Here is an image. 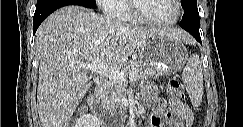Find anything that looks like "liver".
Instances as JSON below:
<instances>
[{
  "label": "liver",
  "mask_w": 243,
  "mask_h": 127,
  "mask_svg": "<svg viewBox=\"0 0 243 127\" xmlns=\"http://www.w3.org/2000/svg\"><path fill=\"white\" fill-rule=\"evenodd\" d=\"M153 34L191 40L183 30L131 27L82 6H65L51 14L35 36L40 61L37 109L42 127H68L91 87L82 64L98 60L109 68H120Z\"/></svg>",
  "instance_id": "obj_1"
}]
</instances>
